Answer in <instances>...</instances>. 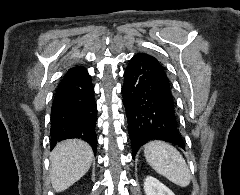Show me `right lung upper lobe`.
<instances>
[{"instance_id":"obj_1","label":"right lung upper lobe","mask_w":240,"mask_h":195,"mask_svg":"<svg viewBox=\"0 0 240 195\" xmlns=\"http://www.w3.org/2000/svg\"><path fill=\"white\" fill-rule=\"evenodd\" d=\"M84 70H86L85 68L81 67V66H76L71 68L66 74L65 76H72V75H76L79 74L81 72H83Z\"/></svg>"}]
</instances>
